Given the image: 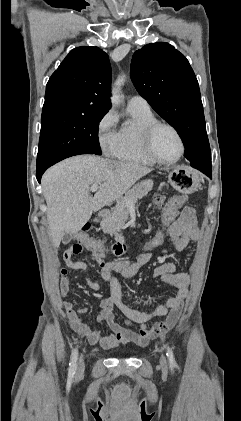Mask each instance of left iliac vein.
<instances>
[{"instance_id":"1","label":"left iliac vein","mask_w":241,"mask_h":421,"mask_svg":"<svg viewBox=\"0 0 241 421\" xmlns=\"http://www.w3.org/2000/svg\"><path fill=\"white\" fill-rule=\"evenodd\" d=\"M160 365L163 371H167V362L163 355L160 358Z\"/></svg>"}]
</instances>
